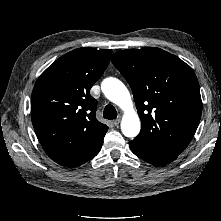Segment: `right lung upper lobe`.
I'll list each match as a JSON object with an SVG mask.
<instances>
[{
    "label": "right lung upper lobe",
    "instance_id": "cb5924a9",
    "mask_svg": "<svg viewBox=\"0 0 221 221\" xmlns=\"http://www.w3.org/2000/svg\"><path fill=\"white\" fill-rule=\"evenodd\" d=\"M111 50L78 48L61 56L38 78L31 97V117L48 156L66 167L95 157L108 127L96 119L90 89L107 68Z\"/></svg>",
    "mask_w": 221,
    "mask_h": 221
}]
</instances>
